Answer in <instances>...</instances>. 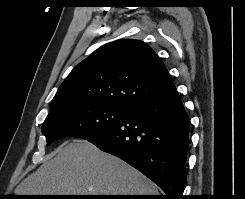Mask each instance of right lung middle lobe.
Masks as SVG:
<instances>
[{
    "instance_id": "right-lung-middle-lobe-1",
    "label": "right lung middle lobe",
    "mask_w": 245,
    "mask_h": 199,
    "mask_svg": "<svg viewBox=\"0 0 245 199\" xmlns=\"http://www.w3.org/2000/svg\"><path fill=\"white\" fill-rule=\"evenodd\" d=\"M128 111L98 103L72 105L48 114L42 132L47 145L68 136L88 139L119 122Z\"/></svg>"
}]
</instances>
